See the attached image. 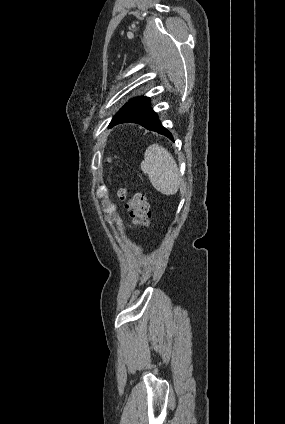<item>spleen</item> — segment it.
<instances>
[{
  "mask_svg": "<svg viewBox=\"0 0 285 424\" xmlns=\"http://www.w3.org/2000/svg\"><path fill=\"white\" fill-rule=\"evenodd\" d=\"M141 170L157 191L164 195L177 193L181 181L179 169L172 155L164 147L159 144L149 146L144 153Z\"/></svg>",
  "mask_w": 285,
  "mask_h": 424,
  "instance_id": "1",
  "label": "spleen"
}]
</instances>
